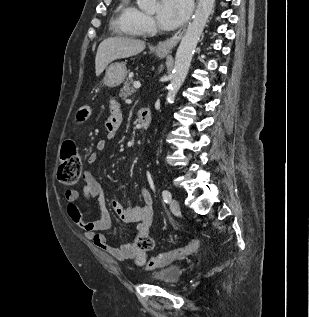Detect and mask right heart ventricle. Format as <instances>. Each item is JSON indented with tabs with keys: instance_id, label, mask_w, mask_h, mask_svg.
<instances>
[{
	"instance_id": "e07e8e85",
	"label": "right heart ventricle",
	"mask_w": 309,
	"mask_h": 317,
	"mask_svg": "<svg viewBox=\"0 0 309 317\" xmlns=\"http://www.w3.org/2000/svg\"><path fill=\"white\" fill-rule=\"evenodd\" d=\"M141 13L131 0H120L113 23L118 33L130 37L139 36L141 34L139 25Z\"/></svg>"
}]
</instances>
